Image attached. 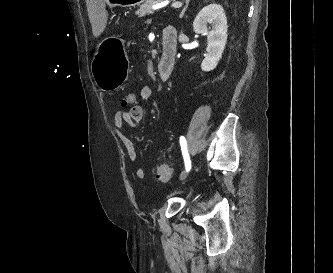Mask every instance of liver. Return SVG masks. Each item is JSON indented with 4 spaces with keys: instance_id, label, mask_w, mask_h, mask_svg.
<instances>
[{
    "instance_id": "1",
    "label": "liver",
    "mask_w": 333,
    "mask_h": 273,
    "mask_svg": "<svg viewBox=\"0 0 333 273\" xmlns=\"http://www.w3.org/2000/svg\"><path fill=\"white\" fill-rule=\"evenodd\" d=\"M107 0H86V6L92 32L95 37H98L105 29L107 23Z\"/></svg>"
}]
</instances>
